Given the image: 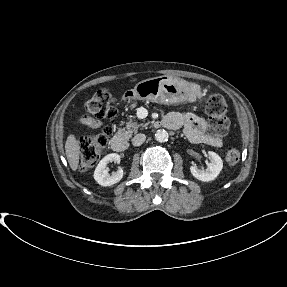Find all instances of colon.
<instances>
[{"mask_svg":"<svg viewBox=\"0 0 287 287\" xmlns=\"http://www.w3.org/2000/svg\"><path fill=\"white\" fill-rule=\"evenodd\" d=\"M88 114L112 121L117 108L114 97L105 90L98 91L85 105ZM228 106L218 93H211L206 100V113L209 117V131L214 137L224 136L229 129V120L226 116ZM112 132L111 127L104 128L103 132L96 135L86 136L80 140V169L86 171L93 167L104 153L107 138ZM225 158L229 164L240 161L241 153L236 147L229 146L225 150Z\"/></svg>","mask_w":287,"mask_h":287,"instance_id":"1","label":"colon"}]
</instances>
